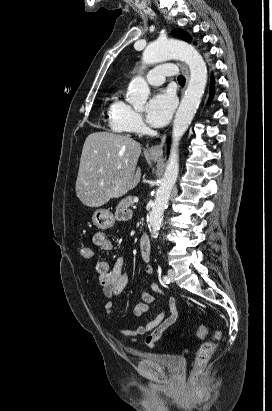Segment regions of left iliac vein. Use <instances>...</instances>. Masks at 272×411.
Wrapping results in <instances>:
<instances>
[{
  "instance_id": "4c4485c4",
  "label": "left iliac vein",
  "mask_w": 272,
  "mask_h": 411,
  "mask_svg": "<svg viewBox=\"0 0 272 411\" xmlns=\"http://www.w3.org/2000/svg\"><path fill=\"white\" fill-rule=\"evenodd\" d=\"M168 277L170 278L171 282H174L175 279V271L173 269L168 270Z\"/></svg>"
}]
</instances>
